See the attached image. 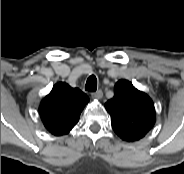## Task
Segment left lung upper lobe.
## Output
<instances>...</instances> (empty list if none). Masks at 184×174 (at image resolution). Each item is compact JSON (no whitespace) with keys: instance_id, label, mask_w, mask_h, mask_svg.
<instances>
[{"instance_id":"5c2ea615","label":"left lung upper lobe","mask_w":184,"mask_h":174,"mask_svg":"<svg viewBox=\"0 0 184 174\" xmlns=\"http://www.w3.org/2000/svg\"><path fill=\"white\" fill-rule=\"evenodd\" d=\"M115 133L125 141H136L146 135L155 123V108L150 97L128 80L114 86V97L105 103Z\"/></svg>"}]
</instances>
